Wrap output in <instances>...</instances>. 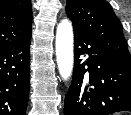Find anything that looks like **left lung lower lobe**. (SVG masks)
I'll return each instance as SVG.
<instances>
[{
  "label": "left lung lower lobe",
  "mask_w": 131,
  "mask_h": 115,
  "mask_svg": "<svg viewBox=\"0 0 131 115\" xmlns=\"http://www.w3.org/2000/svg\"><path fill=\"white\" fill-rule=\"evenodd\" d=\"M81 55H87L85 60ZM131 111V67L109 56L92 38L74 31L73 79L64 115Z\"/></svg>",
  "instance_id": "0a47b994"
}]
</instances>
